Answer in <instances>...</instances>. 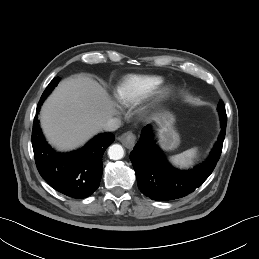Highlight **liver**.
Wrapping results in <instances>:
<instances>
[{
  "label": "liver",
  "mask_w": 259,
  "mask_h": 259,
  "mask_svg": "<svg viewBox=\"0 0 259 259\" xmlns=\"http://www.w3.org/2000/svg\"><path fill=\"white\" fill-rule=\"evenodd\" d=\"M116 114L115 104L95 80L77 75L58 85L41 110L48 141L67 151L84 144Z\"/></svg>",
  "instance_id": "obj_1"
}]
</instances>
